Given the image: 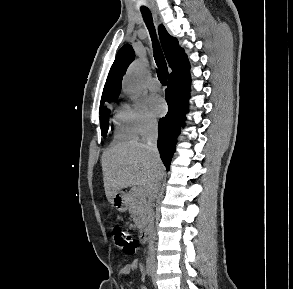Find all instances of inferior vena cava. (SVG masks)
I'll use <instances>...</instances> for the list:
<instances>
[{
	"instance_id": "602c4592",
	"label": "inferior vena cava",
	"mask_w": 293,
	"mask_h": 289,
	"mask_svg": "<svg viewBox=\"0 0 293 289\" xmlns=\"http://www.w3.org/2000/svg\"><path fill=\"white\" fill-rule=\"evenodd\" d=\"M157 138H158V127L156 121H150L146 126V131L143 135V142L146 143V147L149 149V151L152 153L154 158V163L156 165L160 164V156L157 149ZM162 174H157L155 176L153 185L148 193V234H149V251L152 255V259L154 260V240L156 237V233L154 230V211L152 208V202L157 196V193L159 191L160 187V180H161Z\"/></svg>"
}]
</instances>
